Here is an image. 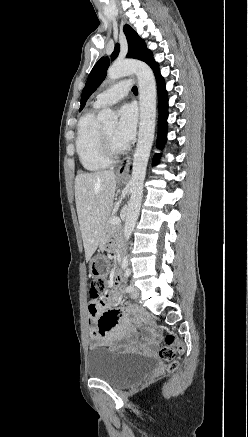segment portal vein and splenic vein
Returning a JSON list of instances; mask_svg holds the SVG:
<instances>
[{"label": "portal vein and splenic vein", "mask_w": 248, "mask_h": 437, "mask_svg": "<svg viewBox=\"0 0 248 437\" xmlns=\"http://www.w3.org/2000/svg\"><path fill=\"white\" fill-rule=\"evenodd\" d=\"M110 224H118L120 222L119 217H113L110 219Z\"/></svg>", "instance_id": "1"}]
</instances>
